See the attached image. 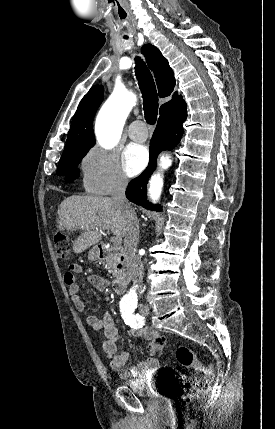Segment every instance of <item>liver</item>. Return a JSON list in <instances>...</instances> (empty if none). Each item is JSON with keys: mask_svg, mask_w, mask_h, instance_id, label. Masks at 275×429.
Listing matches in <instances>:
<instances>
[{"mask_svg": "<svg viewBox=\"0 0 275 429\" xmlns=\"http://www.w3.org/2000/svg\"><path fill=\"white\" fill-rule=\"evenodd\" d=\"M58 229L83 232L73 242V251L79 254L97 244L102 234V226H109L118 237L125 236V217L119 206L109 197L70 196L58 208Z\"/></svg>", "mask_w": 275, "mask_h": 429, "instance_id": "6515ba94", "label": "liver"}]
</instances>
